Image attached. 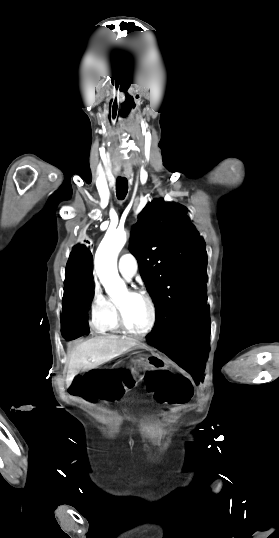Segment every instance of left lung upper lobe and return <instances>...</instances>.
<instances>
[{"label":"left lung upper lobe","instance_id":"left-lung-upper-lobe-1","mask_svg":"<svg viewBox=\"0 0 279 538\" xmlns=\"http://www.w3.org/2000/svg\"><path fill=\"white\" fill-rule=\"evenodd\" d=\"M130 252L156 309L149 336H168L207 305L205 244L186 209L163 199L149 202L132 227Z\"/></svg>","mask_w":279,"mask_h":538}]
</instances>
